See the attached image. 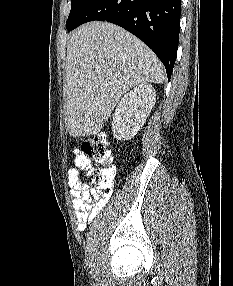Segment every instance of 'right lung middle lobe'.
Instances as JSON below:
<instances>
[{"label": "right lung middle lobe", "instance_id": "obj_1", "mask_svg": "<svg viewBox=\"0 0 233 286\" xmlns=\"http://www.w3.org/2000/svg\"><path fill=\"white\" fill-rule=\"evenodd\" d=\"M89 2L90 0H71V11L66 22L67 29L76 22Z\"/></svg>", "mask_w": 233, "mask_h": 286}]
</instances>
